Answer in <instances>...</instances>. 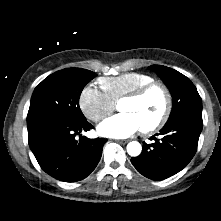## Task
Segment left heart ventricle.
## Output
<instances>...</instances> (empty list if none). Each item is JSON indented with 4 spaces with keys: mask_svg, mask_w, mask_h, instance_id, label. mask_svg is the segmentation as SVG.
<instances>
[{
    "mask_svg": "<svg viewBox=\"0 0 221 221\" xmlns=\"http://www.w3.org/2000/svg\"><path fill=\"white\" fill-rule=\"evenodd\" d=\"M164 98L159 90H154L139 100H124L119 104L122 113H131L142 127L155 122L162 114Z\"/></svg>",
    "mask_w": 221,
    "mask_h": 221,
    "instance_id": "left-heart-ventricle-1",
    "label": "left heart ventricle"
}]
</instances>
